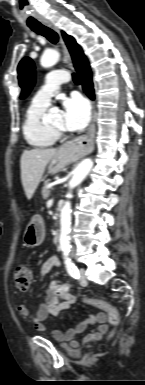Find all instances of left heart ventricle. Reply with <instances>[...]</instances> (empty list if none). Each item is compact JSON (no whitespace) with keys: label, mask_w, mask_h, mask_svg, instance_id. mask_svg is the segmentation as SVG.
<instances>
[{"label":"left heart ventricle","mask_w":145,"mask_h":385,"mask_svg":"<svg viewBox=\"0 0 145 385\" xmlns=\"http://www.w3.org/2000/svg\"><path fill=\"white\" fill-rule=\"evenodd\" d=\"M50 124L54 127L64 128V116L62 114L57 115L50 121Z\"/></svg>","instance_id":"b2bd125f"}]
</instances>
